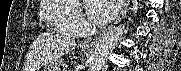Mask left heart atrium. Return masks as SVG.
<instances>
[{
	"label": "left heart atrium",
	"mask_w": 181,
	"mask_h": 71,
	"mask_svg": "<svg viewBox=\"0 0 181 71\" xmlns=\"http://www.w3.org/2000/svg\"><path fill=\"white\" fill-rule=\"evenodd\" d=\"M121 1L92 0L89 1L87 11L89 17L98 24L109 22L118 12Z\"/></svg>",
	"instance_id": "39dd6f15"
}]
</instances>
